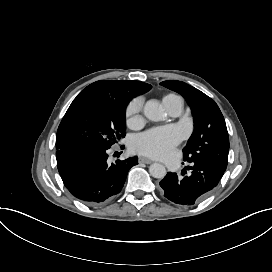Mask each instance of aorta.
I'll return each mask as SVG.
<instances>
[{"label":"aorta","instance_id":"aorta-1","mask_svg":"<svg viewBox=\"0 0 272 272\" xmlns=\"http://www.w3.org/2000/svg\"><path fill=\"white\" fill-rule=\"evenodd\" d=\"M143 114L151 121H159L166 115L156 99H149L143 107ZM150 175L157 179H163L166 176V168L160 163H153L149 167Z\"/></svg>","mask_w":272,"mask_h":272}]
</instances>
